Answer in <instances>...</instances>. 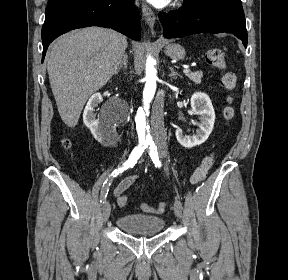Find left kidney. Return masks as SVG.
I'll return each mask as SVG.
<instances>
[{
  "label": "left kidney",
  "mask_w": 288,
  "mask_h": 280,
  "mask_svg": "<svg viewBox=\"0 0 288 280\" xmlns=\"http://www.w3.org/2000/svg\"><path fill=\"white\" fill-rule=\"evenodd\" d=\"M191 108L195 115H199V128L196 133L187 136L180 128L175 132L177 141L185 148H193L204 143L212 132L215 122V111L207 94L194 93L191 97Z\"/></svg>",
  "instance_id": "obj_1"
}]
</instances>
